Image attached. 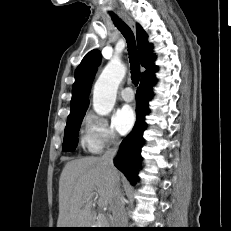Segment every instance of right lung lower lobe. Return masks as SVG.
Segmentation results:
<instances>
[{
	"instance_id": "98d812e1",
	"label": "right lung lower lobe",
	"mask_w": 231,
	"mask_h": 231,
	"mask_svg": "<svg viewBox=\"0 0 231 231\" xmlns=\"http://www.w3.org/2000/svg\"><path fill=\"white\" fill-rule=\"evenodd\" d=\"M156 83L154 76L141 80L136 94L137 121L132 132L122 141L117 156L114 159L115 166L127 177L132 185L138 180V168L140 167V151L144 143L143 132L146 127L145 116L148 113V102L153 97L152 86Z\"/></svg>"
}]
</instances>
